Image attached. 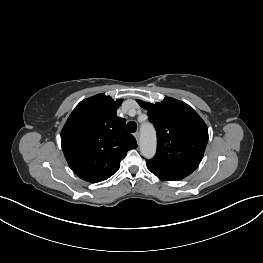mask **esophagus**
<instances>
[{
    "label": "esophagus",
    "instance_id": "34e87169",
    "mask_svg": "<svg viewBox=\"0 0 263 263\" xmlns=\"http://www.w3.org/2000/svg\"><path fill=\"white\" fill-rule=\"evenodd\" d=\"M134 137H135L136 141L139 142L140 134L138 131L134 133Z\"/></svg>",
    "mask_w": 263,
    "mask_h": 263
}]
</instances>
